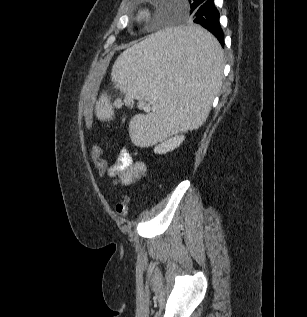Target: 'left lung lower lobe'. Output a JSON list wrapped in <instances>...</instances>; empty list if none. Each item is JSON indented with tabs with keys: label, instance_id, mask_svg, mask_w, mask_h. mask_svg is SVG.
Returning a JSON list of instances; mask_svg holds the SVG:
<instances>
[{
	"label": "left lung lower lobe",
	"instance_id": "obj_1",
	"mask_svg": "<svg viewBox=\"0 0 307 317\" xmlns=\"http://www.w3.org/2000/svg\"><path fill=\"white\" fill-rule=\"evenodd\" d=\"M220 14L214 0H198L195 4L193 22L201 25L211 32L224 47L223 31L219 23ZM172 44L189 48L204 60H214L215 50L192 37H179L172 40Z\"/></svg>",
	"mask_w": 307,
	"mask_h": 317
}]
</instances>
